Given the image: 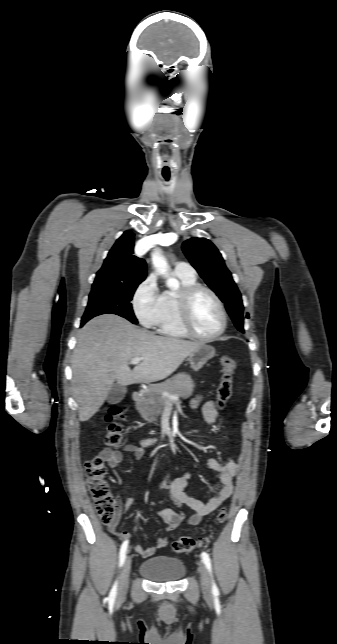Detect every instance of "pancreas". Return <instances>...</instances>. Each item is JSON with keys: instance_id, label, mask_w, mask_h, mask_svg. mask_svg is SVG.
Instances as JSON below:
<instances>
[{"instance_id": "1", "label": "pancreas", "mask_w": 337, "mask_h": 644, "mask_svg": "<svg viewBox=\"0 0 337 644\" xmlns=\"http://www.w3.org/2000/svg\"><path fill=\"white\" fill-rule=\"evenodd\" d=\"M193 389L194 383L189 375H176L163 383L149 386L137 402V409L146 421H154L155 416L162 413L166 401H173L164 397L163 392L187 399L192 395Z\"/></svg>"}]
</instances>
